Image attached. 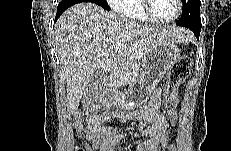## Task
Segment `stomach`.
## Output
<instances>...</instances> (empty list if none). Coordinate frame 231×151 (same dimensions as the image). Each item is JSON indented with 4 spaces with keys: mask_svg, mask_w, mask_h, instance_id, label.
Wrapping results in <instances>:
<instances>
[{
    "mask_svg": "<svg viewBox=\"0 0 231 151\" xmlns=\"http://www.w3.org/2000/svg\"><path fill=\"white\" fill-rule=\"evenodd\" d=\"M180 52L181 50L173 42L153 48L140 60L139 74L126 90L105 91L109 101L126 108H136L144 104L160 80L180 59Z\"/></svg>",
    "mask_w": 231,
    "mask_h": 151,
    "instance_id": "0dacf381",
    "label": "stomach"
}]
</instances>
